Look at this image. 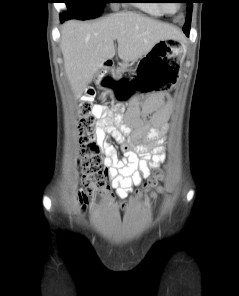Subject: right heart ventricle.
<instances>
[{"label":"right heart ventricle","instance_id":"1","mask_svg":"<svg viewBox=\"0 0 239 296\" xmlns=\"http://www.w3.org/2000/svg\"><path fill=\"white\" fill-rule=\"evenodd\" d=\"M157 0H144L143 3L139 4L138 6L144 12L154 15V16H161L164 12L159 3H156Z\"/></svg>","mask_w":239,"mask_h":296}]
</instances>
